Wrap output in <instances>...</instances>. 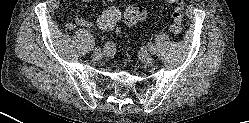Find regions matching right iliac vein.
<instances>
[{"instance_id":"1","label":"right iliac vein","mask_w":249,"mask_h":123,"mask_svg":"<svg viewBox=\"0 0 249 123\" xmlns=\"http://www.w3.org/2000/svg\"><path fill=\"white\" fill-rule=\"evenodd\" d=\"M93 55H94V57H96V58L101 57V55H102V50H101L100 48H95V49L93 50Z\"/></svg>"}]
</instances>
